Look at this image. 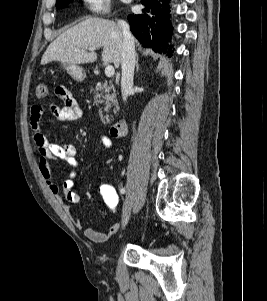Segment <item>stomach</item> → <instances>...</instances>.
<instances>
[{
    "label": "stomach",
    "instance_id": "stomach-1",
    "mask_svg": "<svg viewBox=\"0 0 267 301\" xmlns=\"http://www.w3.org/2000/svg\"><path fill=\"white\" fill-rule=\"evenodd\" d=\"M62 66L74 80L81 82L86 78L85 71L79 65L63 63Z\"/></svg>",
    "mask_w": 267,
    "mask_h": 301
}]
</instances>
